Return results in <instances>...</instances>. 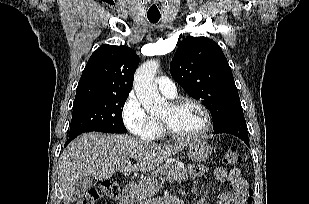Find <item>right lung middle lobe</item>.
<instances>
[{
    "mask_svg": "<svg viewBox=\"0 0 309 204\" xmlns=\"http://www.w3.org/2000/svg\"><path fill=\"white\" fill-rule=\"evenodd\" d=\"M128 95H109L74 103L69 136L89 131L126 133L122 110Z\"/></svg>",
    "mask_w": 309,
    "mask_h": 204,
    "instance_id": "dd1d6c3e",
    "label": "right lung middle lobe"
}]
</instances>
